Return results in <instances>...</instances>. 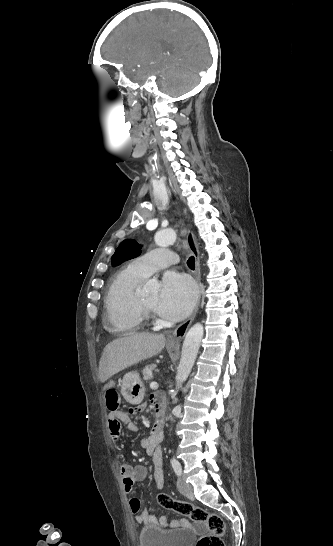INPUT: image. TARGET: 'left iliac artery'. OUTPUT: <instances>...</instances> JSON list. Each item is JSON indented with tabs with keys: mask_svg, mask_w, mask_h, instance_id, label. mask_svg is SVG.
<instances>
[{
	"mask_svg": "<svg viewBox=\"0 0 333 546\" xmlns=\"http://www.w3.org/2000/svg\"><path fill=\"white\" fill-rule=\"evenodd\" d=\"M171 465H172L173 470L176 473V475L180 476L182 474V468H181V465H180L179 461L177 459H175V458H172L171 459Z\"/></svg>",
	"mask_w": 333,
	"mask_h": 546,
	"instance_id": "obj_1",
	"label": "left iliac artery"
}]
</instances>
